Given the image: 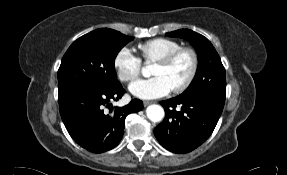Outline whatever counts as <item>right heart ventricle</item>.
Segmentation results:
<instances>
[{
	"label": "right heart ventricle",
	"instance_id": "e07e8e85",
	"mask_svg": "<svg viewBox=\"0 0 287 175\" xmlns=\"http://www.w3.org/2000/svg\"><path fill=\"white\" fill-rule=\"evenodd\" d=\"M180 47L179 41L170 38H154L138 45L142 57L148 62H154Z\"/></svg>",
	"mask_w": 287,
	"mask_h": 175
}]
</instances>
